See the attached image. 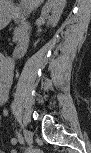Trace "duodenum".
<instances>
[{
  "instance_id": "410a0bca",
  "label": "duodenum",
  "mask_w": 91,
  "mask_h": 153,
  "mask_svg": "<svg viewBox=\"0 0 91 153\" xmlns=\"http://www.w3.org/2000/svg\"><path fill=\"white\" fill-rule=\"evenodd\" d=\"M26 9L19 8L12 13L15 20L20 23L19 40L12 52V57L15 59L21 58L27 52L31 39V25L25 17Z\"/></svg>"
}]
</instances>
